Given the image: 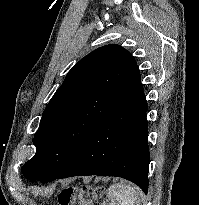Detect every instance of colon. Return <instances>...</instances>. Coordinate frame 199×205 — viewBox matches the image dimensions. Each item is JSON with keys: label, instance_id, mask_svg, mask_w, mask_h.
I'll list each match as a JSON object with an SVG mask.
<instances>
[{"label": "colon", "instance_id": "obj_1", "mask_svg": "<svg viewBox=\"0 0 199 205\" xmlns=\"http://www.w3.org/2000/svg\"><path fill=\"white\" fill-rule=\"evenodd\" d=\"M105 194L101 188L67 186L58 195L59 205H105Z\"/></svg>", "mask_w": 199, "mask_h": 205}]
</instances>
